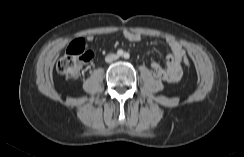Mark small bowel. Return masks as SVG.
<instances>
[{
    "instance_id": "1",
    "label": "small bowel",
    "mask_w": 244,
    "mask_h": 157,
    "mask_svg": "<svg viewBox=\"0 0 244 157\" xmlns=\"http://www.w3.org/2000/svg\"><path fill=\"white\" fill-rule=\"evenodd\" d=\"M123 35L130 42H139L141 40V35L138 33L124 31ZM87 40L92 41L93 36L89 35ZM165 42L171 51L167 56L165 65L162 66L159 62L153 60L151 62V68L157 79L167 83H175L181 79L183 74L181 63L185 55V51L173 38H167Z\"/></svg>"
}]
</instances>
